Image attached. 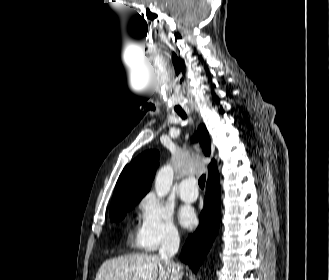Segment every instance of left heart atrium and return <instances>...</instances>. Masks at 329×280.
<instances>
[{
    "label": "left heart atrium",
    "mask_w": 329,
    "mask_h": 280,
    "mask_svg": "<svg viewBox=\"0 0 329 280\" xmlns=\"http://www.w3.org/2000/svg\"><path fill=\"white\" fill-rule=\"evenodd\" d=\"M178 218L182 226L192 228L197 222L196 213L190 206H182L178 213Z\"/></svg>",
    "instance_id": "1"
}]
</instances>
